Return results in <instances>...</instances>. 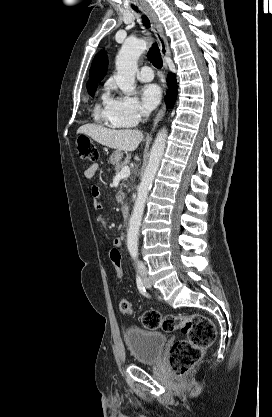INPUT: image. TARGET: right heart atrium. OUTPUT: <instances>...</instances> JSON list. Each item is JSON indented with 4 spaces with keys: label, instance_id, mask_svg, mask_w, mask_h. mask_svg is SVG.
Segmentation results:
<instances>
[{
    "label": "right heart atrium",
    "instance_id": "1",
    "mask_svg": "<svg viewBox=\"0 0 272 417\" xmlns=\"http://www.w3.org/2000/svg\"><path fill=\"white\" fill-rule=\"evenodd\" d=\"M108 109L112 117L125 127L137 125L146 115L138 99L129 94L118 93L109 98Z\"/></svg>",
    "mask_w": 272,
    "mask_h": 417
}]
</instances>
